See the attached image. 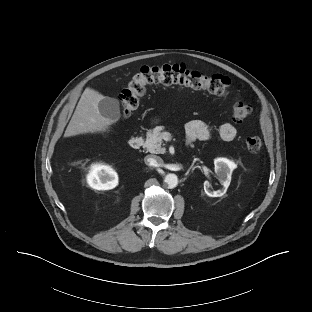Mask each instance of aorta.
I'll return each mask as SVG.
<instances>
[{"label":"aorta","mask_w":312,"mask_h":312,"mask_svg":"<svg viewBox=\"0 0 312 312\" xmlns=\"http://www.w3.org/2000/svg\"><path fill=\"white\" fill-rule=\"evenodd\" d=\"M164 182L167 184L168 188L173 189L178 185V177L173 173H169L165 176Z\"/></svg>","instance_id":"aorta-1"}]
</instances>
